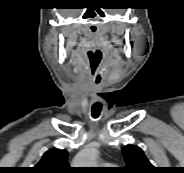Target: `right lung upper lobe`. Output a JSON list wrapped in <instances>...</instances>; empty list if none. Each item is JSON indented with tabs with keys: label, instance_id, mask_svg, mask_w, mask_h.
Listing matches in <instances>:
<instances>
[{
	"label": "right lung upper lobe",
	"instance_id": "1",
	"mask_svg": "<svg viewBox=\"0 0 184 173\" xmlns=\"http://www.w3.org/2000/svg\"><path fill=\"white\" fill-rule=\"evenodd\" d=\"M68 152L60 149L48 150L40 160V162L33 167L32 173H70L71 169L67 164Z\"/></svg>",
	"mask_w": 184,
	"mask_h": 173
}]
</instances>
